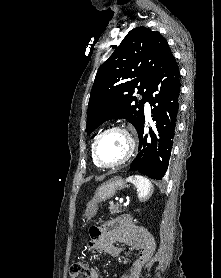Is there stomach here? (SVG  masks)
<instances>
[{"label":"stomach","mask_w":221,"mask_h":278,"mask_svg":"<svg viewBox=\"0 0 221 278\" xmlns=\"http://www.w3.org/2000/svg\"><path fill=\"white\" fill-rule=\"evenodd\" d=\"M125 187V182L121 177H114L101 184L95 191L94 197L87 204L85 217L90 220L98 210V204L112 198L115 193Z\"/></svg>","instance_id":"1"}]
</instances>
